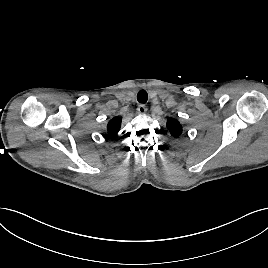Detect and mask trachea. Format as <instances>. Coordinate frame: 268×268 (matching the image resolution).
Segmentation results:
<instances>
[{"label": "trachea", "mask_w": 268, "mask_h": 268, "mask_svg": "<svg viewBox=\"0 0 268 268\" xmlns=\"http://www.w3.org/2000/svg\"><path fill=\"white\" fill-rule=\"evenodd\" d=\"M137 100L139 103H146L147 100H148V95H147V92L145 90H140L137 94Z\"/></svg>", "instance_id": "trachea-1"}]
</instances>
